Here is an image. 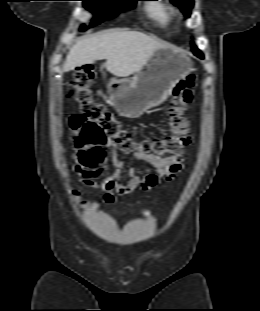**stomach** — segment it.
Here are the masks:
<instances>
[{
	"instance_id": "stomach-1",
	"label": "stomach",
	"mask_w": 260,
	"mask_h": 311,
	"mask_svg": "<svg viewBox=\"0 0 260 311\" xmlns=\"http://www.w3.org/2000/svg\"><path fill=\"white\" fill-rule=\"evenodd\" d=\"M192 71L193 62L183 50L172 46L158 48L131 80L110 79V102L121 116L138 118L162 104L175 85Z\"/></svg>"
}]
</instances>
